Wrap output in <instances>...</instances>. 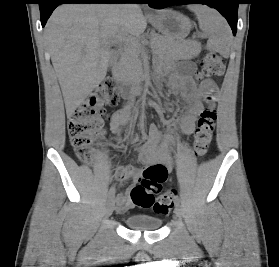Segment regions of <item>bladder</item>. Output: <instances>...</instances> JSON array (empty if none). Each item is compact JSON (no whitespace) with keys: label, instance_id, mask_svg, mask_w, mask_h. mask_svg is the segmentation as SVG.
<instances>
[{"label":"bladder","instance_id":"obj_1","mask_svg":"<svg viewBox=\"0 0 279 267\" xmlns=\"http://www.w3.org/2000/svg\"><path fill=\"white\" fill-rule=\"evenodd\" d=\"M127 228L139 231H155L162 225V220L149 215H131L124 220Z\"/></svg>","mask_w":279,"mask_h":267}]
</instances>
